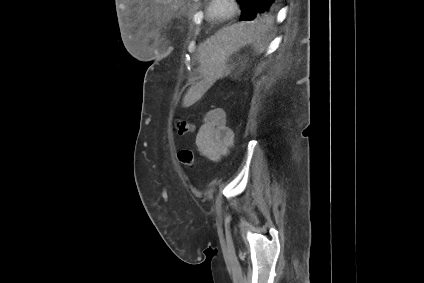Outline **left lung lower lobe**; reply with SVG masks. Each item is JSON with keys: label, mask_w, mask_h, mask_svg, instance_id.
I'll use <instances>...</instances> for the list:
<instances>
[{"label": "left lung lower lobe", "mask_w": 424, "mask_h": 283, "mask_svg": "<svg viewBox=\"0 0 424 283\" xmlns=\"http://www.w3.org/2000/svg\"><path fill=\"white\" fill-rule=\"evenodd\" d=\"M275 1L276 0H263L260 2V6L258 8L257 14H265L273 12L275 8Z\"/></svg>", "instance_id": "obj_1"}]
</instances>
